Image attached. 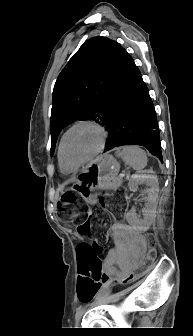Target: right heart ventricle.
<instances>
[{
    "label": "right heart ventricle",
    "mask_w": 193,
    "mask_h": 336,
    "mask_svg": "<svg viewBox=\"0 0 193 336\" xmlns=\"http://www.w3.org/2000/svg\"><path fill=\"white\" fill-rule=\"evenodd\" d=\"M58 163H59V168L60 171L64 174H70V173H74L78 170L79 166H70L68 164H66L61 155H60V151L58 150Z\"/></svg>",
    "instance_id": "e07e8e85"
}]
</instances>
